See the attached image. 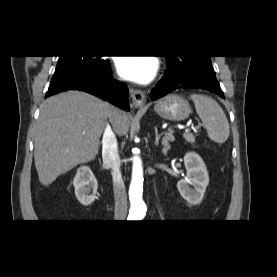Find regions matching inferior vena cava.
Here are the masks:
<instances>
[{
    "label": "inferior vena cava",
    "mask_w": 277,
    "mask_h": 277,
    "mask_svg": "<svg viewBox=\"0 0 277 277\" xmlns=\"http://www.w3.org/2000/svg\"><path fill=\"white\" fill-rule=\"evenodd\" d=\"M103 163L111 168L113 190L115 199L114 217L117 220H125L127 215V195L120 171V156L115 134L109 124L106 125L102 138Z\"/></svg>",
    "instance_id": "1"
}]
</instances>
